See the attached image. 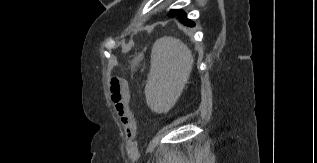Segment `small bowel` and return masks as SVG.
Listing matches in <instances>:
<instances>
[{
	"label": "small bowel",
	"mask_w": 317,
	"mask_h": 163,
	"mask_svg": "<svg viewBox=\"0 0 317 163\" xmlns=\"http://www.w3.org/2000/svg\"><path fill=\"white\" fill-rule=\"evenodd\" d=\"M117 115L127 131V140L132 143V133L135 127L134 116L129 108L128 101L124 104L115 103Z\"/></svg>",
	"instance_id": "small-bowel-1"
}]
</instances>
